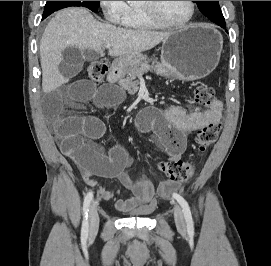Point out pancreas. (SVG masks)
Masks as SVG:
<instances>
[{
    "instance_id": "1",
    "label": "pancreas",
    "mask_w": 271,
    "mask_h": 266,
    "mask_svg": "<svg viewBox=\"0 0 271 266\" xmlns=\"http://www.w3.org/2000/svg\"><path fill=\"white\" fill-rule=\"evenodd\" d=\"M152 68L153 67L149 65L148 62H144L139 66L132 68L129 71L128 76L121 79L119 83L124 89L128 90L130 94H134L138 90V81H135V79L148 71H152Z\"/></svg>"
}]
</instances>
